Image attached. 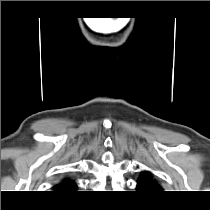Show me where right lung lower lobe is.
Listing matches in <instances>:
<instances>
[{"label": "right lung lower lobe", "mask_w": 210, "mask_h": 210, "mask_svg": "<svg viewBox=\"0 0 210 210\" xmlns=\"http://www.w3.org/2000/svg\"><path fill=\"white\" fill-rule=\"evenodd\" d=\"M73 192L67 193V194H72Z\"/></svg>", "instance_id": "1"}]
</instances>
